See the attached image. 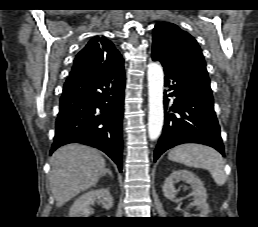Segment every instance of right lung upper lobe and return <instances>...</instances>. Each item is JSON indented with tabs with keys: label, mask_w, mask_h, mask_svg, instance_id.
I'll use <instances>...</instances> for the list:
<instances>
[{
	"label": "right lung upper lobe",
	"mask_w": 258,
	"mask_h": 227,
	"mask_svg": "<svg viewBox=\"0 0 258 227\" xmlns=\"http://www.w3.org/2000/svg\"><path fill=\"white\" fill-rule=\"evenodd\" d=\"M115 58H122L107 38L94 37L75 57L70 76L89 74Z\"/></svg>",
	"instance_id": "right-lung-upper-lobe-1"
}]
</instances>
